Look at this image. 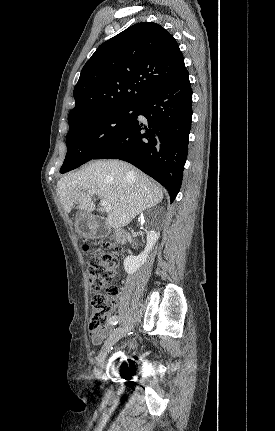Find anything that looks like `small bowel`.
<instances>
[{
  "label": "small bowel",
  "mask_w": 275,
  "mask_h": 431,
  "mask_svg": "<svg viewBox=\"0 0 275 431\" xmlns=\"http://www.w3.org/2000/svg\"><path fill=\"white\" fill-rule=\"evenodd\" d=\"M109 331H110V329L106 328L104 331H102V332H100L98 334H95V335L91 334V342L94 345L101 344L102 340L107 336V334L109 333Z\"/></svg>",
  "instance_id": "obj_1"
}]
</instances>
